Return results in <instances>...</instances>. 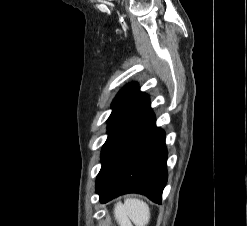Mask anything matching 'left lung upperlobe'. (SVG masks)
<instances>
[{
  "label": "left lung upper lobe",
  "instance_id": "5c2ea615",
  "mask_svg": "<svg viewBox=\"0 0 247 226\" xmlns=\"http://www.w3.org/2000/svg\"><path fill=\"white\" fill-rule=\"evenodd\" d=\"M137 89V84L131 83L125 86L116 96L115 100L113 101L112 105V113L108 119H110L115 115V113L120 109V107L124 104V102L133 94V92Z\"/></svg>",
  "mask_w": 247,
  "mask_h": 226
}]
</instances>
